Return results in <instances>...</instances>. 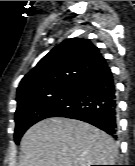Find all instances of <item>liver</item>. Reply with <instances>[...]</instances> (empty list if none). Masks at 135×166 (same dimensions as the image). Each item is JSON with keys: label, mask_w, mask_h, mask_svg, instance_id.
Wrapping results in <instances>:
<instances>
[{"label": "liver", "mask_w": 135, "mask_h": 166, "mask_svg": "<svg viewBox=\"0 0 135 166\" xmlns=\"http://www.w3.org/2000/svg\"><path fill=\"white\" fill-rule=\"evenodd\" d=\"M21 150L19 166L112 165L117 155L107 133L68 118H47L30 127L22 137Z\"/></svg>", "instance_id": "liver-1"}]
</instances>
